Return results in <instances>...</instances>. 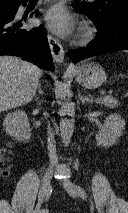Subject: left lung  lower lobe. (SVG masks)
Listing matches in <instances>:
<instances>
[{
	"label": "left lung lower lobe",
	"mask_w": 128,
	"mask_h": 213,
	"mask_svg": "<svg viewBox=\"0 0 128 213\" xmlns=\"http://www.w3.org/2000/svg\"><path fill=\"white\" fill-rule=\"evenodd\" d=\"M72 6L94 21L88 13L74 4ZM95 24L99 30L96 35L97 38L92 40L85 48L68 52L69 57L74 62L103 53L128 49V12L114 16L103 25H99L96 22Z\"/></svg>",
	"instance_id": "left-lung-lower-lobe-1"
}]
</instances>
